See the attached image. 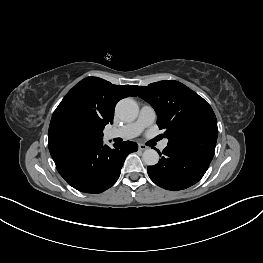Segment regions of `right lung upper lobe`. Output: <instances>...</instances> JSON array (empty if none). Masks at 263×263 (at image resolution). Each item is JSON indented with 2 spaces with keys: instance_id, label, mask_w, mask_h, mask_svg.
<instances>
[{
  "instance_id": "obj_1",
  "label": "right lung upper lobe",
  "mask_w": 263,
  "mask_h": 263,
  "mask_svg": "<svg viewBox=\"0 0 263 263\" xmlns=\"http://www.w3.org/2000/svg\"><path fill=\"white\" fill-rule=\"evenodd\" d=\"M136 96L130 85H113L98 77L77 83L54 111L48 133L51 156L102 140L105 125L113 123L116 103Z\"/></svg>"
}]
</instances>
